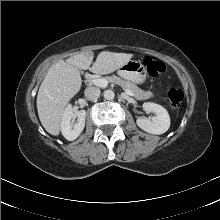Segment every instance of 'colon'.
<instances>
[{
    "instance_id": "obj_1",
    "label": "colon",
    "mask_w": 220,
    "mask_h": 220,
    "mask_svg": "<svg viewBox=\"0 0 220 220\" xmlns=\"http://www.w3.org/2000/svg\"><path fill=\"white\" fill-rule=\"evenodd\" d=\"M143 63L151 76H157L165 71L164 63L150 55H147L143 59ZM184 99V92L179 88H171L168 91V101L173 108H177L181 105Z\"/></svg>"
}]
</instances>
